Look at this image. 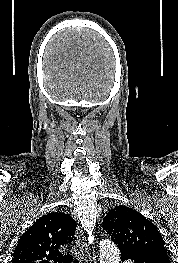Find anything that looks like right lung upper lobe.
<instances>
[{
  "label": "right lung upper lobe",
  "instance_id": "1",
  "mask_svg": "<svg viewBox=\"0 0 178 263\" xmlns=\"http://www.w3.org/2000/svg\"><path fill=\"white\" fill-rule=\"evenodd\" d=\"M76 226L67 214L53 212L40 217L20 237L12 263L73 262L71 255L59 250L73 241Z\"/></svg>",
  "mask_w": 178,
  "mask_h": 263
}]
</instances>
